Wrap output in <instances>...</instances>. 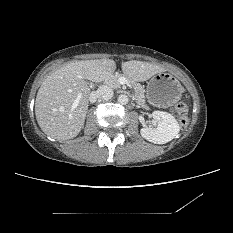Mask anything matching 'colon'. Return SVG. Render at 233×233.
I'll return each mask as SVG.
<instances>
[{"label": "colon", "mask_w": 233, "mask_h": 233, "mask_svg": "<svg viewBox=\"0 0 233 233\" xmlns=\"http://www.w3.org/2000/svg\"><path fill=\"white\" fill-rule=\"evenodd\" d=\"M175 112L180 126L185 128L188 125L189 106L184 102H178L175 106Z\"/></svg>", "instance_id": "1"}]
</instances>
